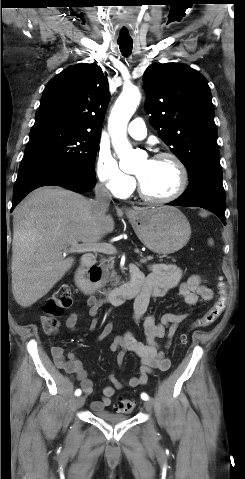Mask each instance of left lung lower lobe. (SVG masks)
Wrapping results in <instances>:
<instances>
[{
	"instance_id": "left-lung-lower-lobe-1",
	"label": "left lung lower lobe",
	"mask_w": 245,
	"mask_h": 479,
	"mask_svg": "<svg viewBox=\"0 0 245 479\" xmlns=\"http://www.w3.org/2000/svg\"><path fill=\"white\" fill-rule=\"evenodd\" d=\"M168 205L207 209L218 216L226 225V199L220 166L209 167L198 172L189 180L187 190Z\"/></svg>"
}]
</instances>
